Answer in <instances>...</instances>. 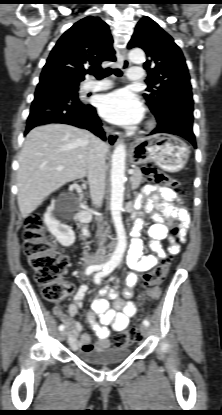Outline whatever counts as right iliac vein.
Wrapping results in <instances>:
<instances>
[{
	"label": "right iliac vein",
	"mask_w": 222,
	"mask_h": 415,
	"mask_svg": "<svg viewBox=\"0 0 222 415\" xmlns=\"http://www.w3.org/2000/svg\"><path fill=\"white\" fill-rule=\"evenodd\" d=\"M59 336H60V339L61 340H65V338L67 336V330L61 331L60 334H59Z\"/></svg>",
	"instance_id": "obj_1"
}]
</instances>
